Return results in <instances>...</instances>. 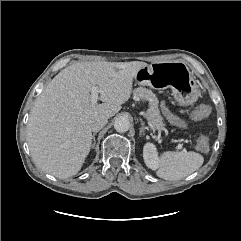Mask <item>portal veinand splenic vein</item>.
<instances>
[{
  "label": "portal vein and splenic vein",
  "mask_w": 241,
  "mask_h": 241,
  "mask_svg": "<svg viewBox=\"0 0 241 241\" xmlns=\"http://www.w3.org/2000/svg\"><path fill=\"white\" fill-rule=\"evenodd\" d=\"M99 93H100V90L97 88V87H92V89H91V95H90V100H91V103L92 104H95V103H97V101H98V95H99ZM148 124H149V126L152 128V129H154V126H153V124L151 123V121H148ZM177 148L178 149H182V144H178L177 145Z\"/></svg>",
  "instance_id": "portal-vein-and-splenic-vein-1"
}]
</instances>
